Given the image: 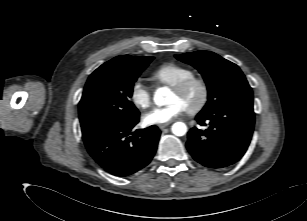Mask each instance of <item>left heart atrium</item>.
<instances>
[{"label":"left heart atrium","instance_id":"obj_1","mask_svg":"<svg viewBox=\"0 0 307 221\" xmlns=\"http://www.w3.org/2000/svg\"><path fill=\"white\" fill-rule=\"evenodd\" d=\"M185 111L184 106L177 102H171L166 106L157 107L147 112L143 120L147 125H161L171 122Z\"/></svg>","mask_w":307,"mask_h":221}]
</instances>
